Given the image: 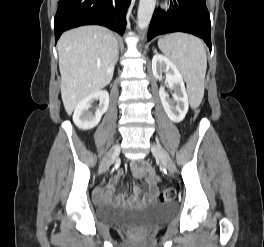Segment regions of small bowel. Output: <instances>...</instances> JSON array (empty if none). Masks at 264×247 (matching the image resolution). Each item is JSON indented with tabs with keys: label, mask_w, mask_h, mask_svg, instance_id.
<instances>
[{
	"label": "small bowel",
	"mask_w": 264,
	"mask_h": 247,
	"mask_svg": "<svg viewBox=\"0 0 264 247\" xmlns=\"http://www.w3.org/2000/svg\"><path fill=\"white\" fill-rule=\"evenodd\" d=\"M131 170L133 176L135 178H144L147 182L149 189L145 196H142L140 190L138 188L134 189V195L130 198V202H138L142 200L146 201H153L158 193V183L159 178L152 170L150 165L145 161H135L131 164ZM123 176V172L120 171L114 177L110 183L102 188H99L94 193V198L98 202H107V201H114V202H122L125 199L124 194H119L114 196L115 187L119 181V179Z\"/></svg>",
	"instance_id": "obj_1"
}]
</instances>
